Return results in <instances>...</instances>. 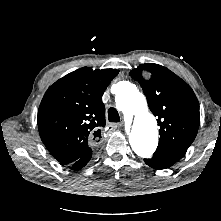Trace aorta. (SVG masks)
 Segmentation results:
<instances>
[{"label": "aorta", "instance_id": "aorta-1", "mask_svg": "<svg viewBox=\"0 0 221 221\" xmlns=\"http://www.w3.org/2000/svg\"><path fill=\"white\" fill-rule=\"evenodd\" d=\"M116 107L132 121L130 145L141 158L152 156L158 145V127L155 117L148 112L144 95L134 84L123 82L115 97Z\"/></svg>", "mask_w": 221, "mask_h": 221}]
</instances>
